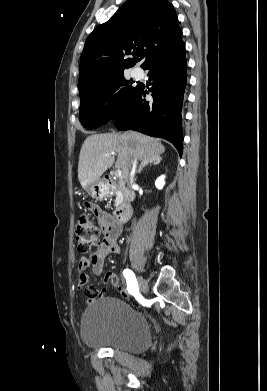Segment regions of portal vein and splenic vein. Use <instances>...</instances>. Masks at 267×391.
<instances>
[{
	"label": "portal vein and splenic vein",
	"instance_id": "18ae733b",
	"mask_svg": "<svg viewBox=\"0 0 267 391\" xmlns=\"http://www.w3.org/2000/svg\"><path fill=\"white\" fill-rule=\"evenodd\" d=\"M114 155V153H112ZM115 176L117 177H122V171L121 170H116L115 171Z\"/></svg>",
	"mask_w": 267,
	"mask_h": 391
}]
</instances>
